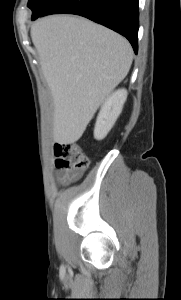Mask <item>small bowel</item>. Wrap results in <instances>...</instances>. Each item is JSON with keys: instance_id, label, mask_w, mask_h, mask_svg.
<instances>
[{"instance_id": "c3829d8e", "label": "small bowel", "mask_w": 181, "mask_h": 300, "mask_svg": "<svg viewBox=\"0 0 181 300\" xmlns=\"http://www.w3.org/2000/svg\"><path fill=\"white\" fill-rule=\"evenodd\" d=\"M57 177L61 183H68L76 178V176L71 175L68 171L63 169H60L57 172Z\"/></svg>"}]
</instances>
